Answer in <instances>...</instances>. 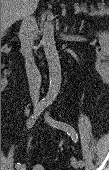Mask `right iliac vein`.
<instances>
[{"mask_svg": "<svg viewBox=\"0 0 109 170\" xmlns=\"http://www.w3.org/2000/svg\"><path fill=\"white\" fill-rule=\"evenodd\" d=\"M17 170H26L25 164L20 165Z\"/></svg>", "mask_w": 109, "mask_h": 170, "instance_id": "obj_1", "label": "right iliac vein"}]
</instances>
